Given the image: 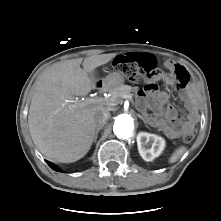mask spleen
<instances>
[{
    "mask_svg": "<svg viewBox=\"0 0 221 221\" xmlns=\"http://www.w3.org/2000/svg\"><path fill=\"white\" fill-rule=\"evenodd\" d=\"M186 152V147L181 146L177 148L174 153L171 155L169 159V163H175L177 160L181 158V156Z\"/></svg>",
    "mask_w": 221,
    "mask_h": 221,
    "instance_id": "spleen-1",
    "label": "spleen"
}]
</instances>
